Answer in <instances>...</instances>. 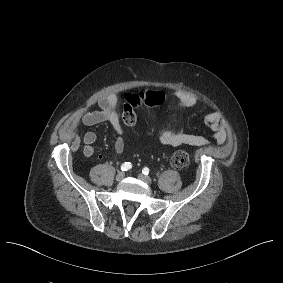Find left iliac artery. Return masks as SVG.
I'll use <instances>...</instances> for the list:
<instances>
[{"mask_svg": "<svg viewBox=\"0 0 283 283\" xmlns=\"http://www.w3.org/2000/svg\"><path fill=\"white\" fill-rule=\"evenodd\" d=\"M142 173L145 174V175H148L149 174V168L144 167L143 170H142Z\"/></svg>", "mask_w": 283, "mask_h": 283, "instance_id": "obj_1", "label": "left iliac artery"}]
</instances>
